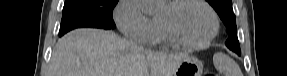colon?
<instances>
[{
  "label": "colon",
  "instance_id": "5ec220e1",
  "mask_svg": "<svg viewBox=\"0 0 287 76\" xmlns=\"http://www.w3.org/2000/svg\"><path fill=\"white\" fill-rule=\"evenodd\" d=\"M206 76H214V74H212V73H208Z\"/></svg>",
  "mask_w": 287,
  "mask_h": 76
}]
</instances>
